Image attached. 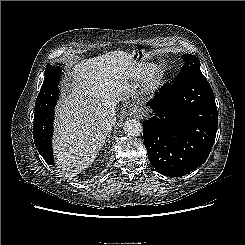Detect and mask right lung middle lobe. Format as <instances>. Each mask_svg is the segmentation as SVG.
I'll use <instances>...</instances> for the list:
<instances>
[{
	"instance_id": "obj_1",
	"label": "right lung middle lobe",
	"mask_w": 245,
	"mask_h": 245,
	"mask_svg": "<svg viewBox=\"0 0 245 245\" xmlns=\"http://www.w3.org/2000/svg\"><path fill=\"white\" fill-rule=\"evenodd\" d=\"M61 64L47 65L45 79L35 103L34 118L48 119L54 116V108L59 96L58 82L61 77Z\"/></svg>"
}]
</instances>
